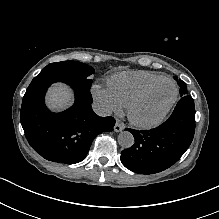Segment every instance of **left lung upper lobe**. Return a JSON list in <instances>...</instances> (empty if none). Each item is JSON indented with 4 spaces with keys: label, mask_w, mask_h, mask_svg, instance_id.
I'll return each instance as SVG.
<instances>
[{
    "label": "left lung upper lobe",
    "mask_w": 219,
    "mask_h": 219,
    "mask_svg": "<svg viewBox=\"0 0 219 219\" xmlns=\"http://www.w3.org/2000/svg\"><path fill=\"white\" fill-rule=\"evenodd\" d=\"M175 80L178 81V79L175 77ZM179 86H180V95L183 97V96H186L188 95V91H187V88H186V84L183 82V81H179L178 82Z\"/></svg>",
    "instance_id": "1"
}]
</instances>
